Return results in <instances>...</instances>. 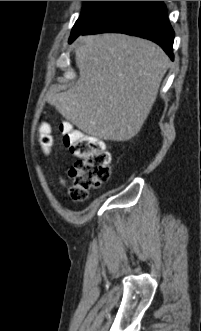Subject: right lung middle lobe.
<instances>
[{"mask_svg": "<svg viewBox=\"0 0 201 331\" xmlns=\"http://www.w3.org/2000/svg\"><path fill=\"white\" fill-rule=\"evenodd\" d=\"M115 1H86L82 14L76 21L70 39L79 35L97 18H99ZM69 39V40H70Z\"/></svg>", "mask_w": 201, "mask_h": 331, "instance_id": "dd1d6c3e", "label": "right lung middle lobe"}]
</instances>
